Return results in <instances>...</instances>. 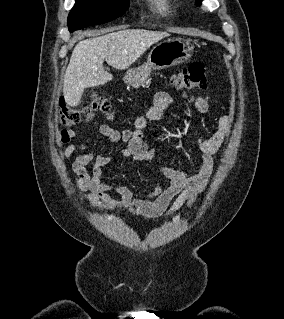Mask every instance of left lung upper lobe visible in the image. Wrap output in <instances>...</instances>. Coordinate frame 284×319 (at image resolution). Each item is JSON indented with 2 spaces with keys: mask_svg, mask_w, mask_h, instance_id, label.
Wrapping results in <instances>:
<instances>
[{
  "mask_svg": "<svg viewBox=\"0 0 284 319\" xmlns=\"http://www.w3.org/2000/svg\"><path fill=\"white\" fill-rule=\"evenodd\" d=\"M195 2H196L197 5H200L202 0H195Z\"/></svg>",
  "mask_w": 284,
  "mask_h": 319,
  "instance_id": "1",
  "label": "left lung upper lobe"
}]
</instances>
